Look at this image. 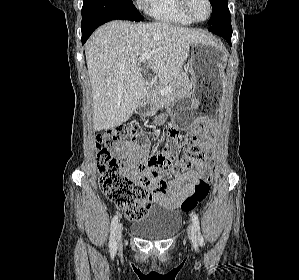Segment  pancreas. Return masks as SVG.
Returning a JSON list of instances; mask_svg holds the SVG:
<instances>
[{"label":"pancreas","instance_id":"cf45deb5","mask_svg":"<svg viewBox=\"0 0 299 280\" xmlns=\"http://www.w3.org/2000/svg\"><path fill=\"white\" fill-rule=\"evenodd\" d=\"M167 86H172V93L168 96H162L158 91L150 89L146 96V101L153 107H160L163 102L167 101L172 95L177 93H188L190 91V83L185 79H168L167 82L162 83L159 87L165 88Z\"/></svg>","mask_w":299,"mask_h":280}]
</instances>
